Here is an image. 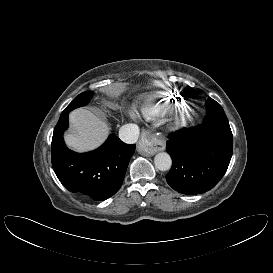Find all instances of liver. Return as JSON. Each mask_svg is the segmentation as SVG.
<instances>
[{
	"instance_id": "liver-1",
	"label": "liver",
	"mask_w": 273,
	"mask_h": 273,
	"mask_svg": "<svg viewBox=\"0 0 273 273\" xmlns=\"http://www.w3.org/2000/svg\"><path fill=\"white\" fill-rule=\"evenodd\" d=\"M73 132L65 135L66 144L78 152H86L100 146L109 134V127L92 112L76 109L70 113Z\"/></svg>"
}]
</instances>
